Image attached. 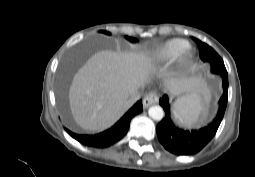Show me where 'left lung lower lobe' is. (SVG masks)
<instances>
[{"label":"left lung lower lobe","instance_id":"1","mask_svg":"<svg viewBox=\"0 0 255 177\" xmlns=\"http://www.w3.org/2000/svg\"><path fill=\"white\" fill-rule=\"evenodd\" d=\"M223 78V95L219 100V110L214 120L199 130H184L176 126L170 118L168 97L164 95L159 103L165 110V117L157 125L160 143L175 155H193L203 149L215 136L223 119L228 100V76Z\"/></svg>","mask_w":255,"mask_h":177}]
</instances>
